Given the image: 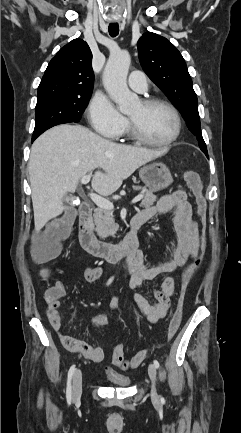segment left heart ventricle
Returning a JSON list of instances; mask_svg holds the SVG:
<instances>
[{"mask_svg":"<svg viewBox=\"0 0 241 433\" xmlns=\"http://www.w3.org/2000/svg\"><path fill=\"white\" fill-rule=\"evenodd\" d=\"M128 116L141 133L153 141H165L175 132V118L164 106L145 107L140 102L129 111Z\"/></svg>","mask_w":241,"mask_h":433,"instance_id":"obj_1","label":"left heart ventricle"}]
</instances>
